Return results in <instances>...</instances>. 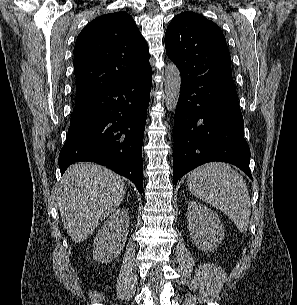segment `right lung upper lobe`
Listing matches in <instances>:
<instances>
[{
    "mask_svg": "<svg viewBox=\"0 0 297 305\" xmlns=\"http://www.w3.org/2000/svg\"><path fill=\"white\" fill-rule=\"evenodd\" d=\"M149 58L147 43L129 14L116 12L94 19L80 32L74 47L75 103L151 69Z\"/></svg>",
    "mask_w": 297,
    "mask_h": 305,
    "instance_id": "1",
    "label": "right lung upper lobe"
}]
</instances>
